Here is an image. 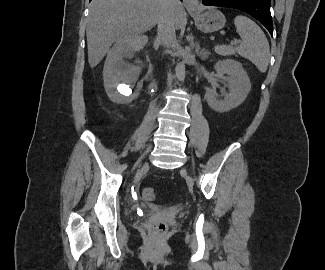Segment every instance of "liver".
Returning a JSON list of instances; mask_svg holds the SVG:
<instances>
[{
    "label": "liver",
    "instance_id": "liver-1",
    "mask_svg": "<svg viewBox=\"0 0 325 270\" xmlns=\"http://www.w3.org/2000/svg\"><path fill=\"white\" fill-rule=\"evenodd\" d=\"M161 0H92L86 36L90 67L97 66L114 42L133 43L141 48L140 35L152 29L161 13ZM175 28L186 23L183 6L172 7Z\"/></svg>",
    "mask_w": 325,
    "mask_h": 270
}]
</instances>
